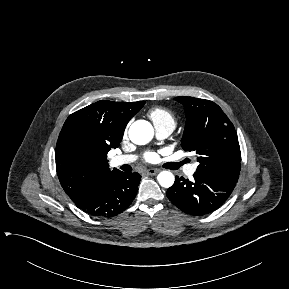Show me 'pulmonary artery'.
<instances>
[{"label":"pulmonary artery","mask_w":289,"mask_h":289,"mask_svg":"<svg viewBox=\"0 0 289 289\" xmlns=\"http://www.w3.org/2000/svg\"><path fill=\"white\" fill-rule=\"evenodd\" d=\"M172 127L170 126H157L155 127L156 136L159 139H164L168 137L173 132ZM137 159L136 155H117L111 159V164L113 166H120L123 164H129L134 162ZM197 168L196 164H190L185 168V172L187 175L191 176L195 173Z\"/></svg>","instance_id":"pulmonary-artery-1"}]
</instances>
